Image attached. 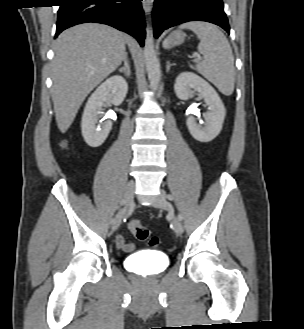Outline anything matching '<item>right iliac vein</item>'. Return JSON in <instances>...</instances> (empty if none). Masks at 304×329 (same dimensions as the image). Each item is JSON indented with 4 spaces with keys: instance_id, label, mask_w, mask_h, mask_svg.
Here are the masks:
<instances>
[{
    "instance_id": "1",
    "label": "right iliac vein",
    "mask_w": 304,
    "mask_h": 329,
    "mask_svg": "<svg viewBox=\"0 0 304 329\" xmlns=\"http://www.w3.org/2000/svg\"><path fill=\"white\" fill-rule=\"evenodd\" d=\"M134 190H135V182L134 181H129L126 186H125V190H124V198L126 199V206H128V204L130 203V201L132 200L133 198V194H134ZM124 214H125V210L121 211L115 222L112 224V231H115L118 229V227L120 226L121 224V221L124 217Z\"/></svg>"
}]
</instances>
